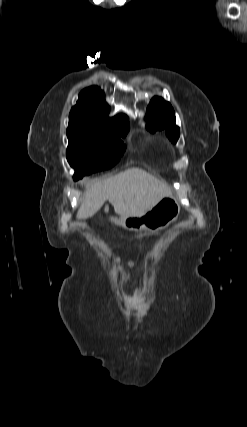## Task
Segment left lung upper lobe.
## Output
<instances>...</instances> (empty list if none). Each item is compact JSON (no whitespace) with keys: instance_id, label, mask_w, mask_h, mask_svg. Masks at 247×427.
<instances>
[{"instance_id":"1","label":"left lung upper lobe","mask_w":247,"mask_h":427,"mask_svg":"<svg viewBox=\"0 0 247 427\" xmlns=\"http://www.w3.org/2000/svg\"><path fill=\"white\" fill-rule=\"evenodd\" d=\"M146 121L149 131L166 129L169 140L173 143L177 142L180 131L175 125V113L169 102H165L160 97H153L147 107Z\"/></svg>"}]
</instances>
